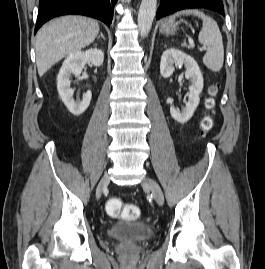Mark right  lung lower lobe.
<instances>
[{
    "label": "right lung lower lobe",
    "mask_w": 265,
    "mask_h": 269,
    "mask_svg": "<svg viewBox=\"0 0 265 269\" xmlns=\"http://www.w3.org/2000/svg\"><path fill=\"white\" fill-rule=\"evenodd\" d=\"M117 0H40L35 32L53 17L81 14L111 24Z\"/></svg>",
    "instance_id": "obj_1"
}]
</instances>
